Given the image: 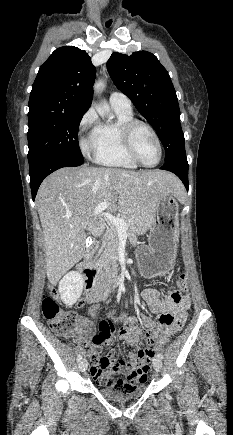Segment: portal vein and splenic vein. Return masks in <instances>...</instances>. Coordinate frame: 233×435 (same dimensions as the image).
<instances>
[{
    "label": "portal vein and splenic vein",
    "instance_id": "obj_1",
    "mask_svg": "<svg viewBox=\"0 0 233 435\" xmlns=\"http://www.w3.org/2000/svg\"><path fill=\"white\" fill-rule=\"evenodd\" d=\"M109 202H101L93 211L92 216L94 217H106L113 226H115L119 233L127 235V230L129 229V224H127L122 218L113 216L110 213L104 212V210L109 206Z\"/></svg>",
    "mask_w": 233,
    "mask_h": 435
}]
</instances>
